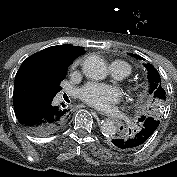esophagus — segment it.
Here are the masks:
<instances>
[{
  "label": "esophagus",
  "instance_id": "obj_1",
  "mask_svg": "<svg viewBox=\"0 0 177 177\" xmlns=\"http://www.w3.org/2000/svg\"><path fill=\"white\" fill-rule=\"evenodd\" d=\"M98 115H99L101 118H104V117L107 115V112H106L104 109H101V110L98 112Z\"/></svg>",
  "mask_w": 177,
  "mask_h": 177
}]
</instances>
